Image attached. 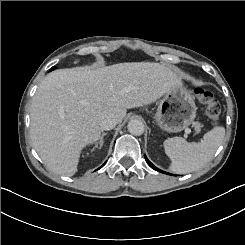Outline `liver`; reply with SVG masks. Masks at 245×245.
I'll use <instances>...</instances> for the list:
<instances>
[{
  "label": "liver",
  "instance_id": "6515ba94",
  "mask_svg": "<svg viewBox=\"0 0 245 245\" xmlns=\"http://www.w3.org/2000/svg\"><path fill=\"white\" fill-rule=\"evenodd\" d=\"M180 85L172 70L150 62L53 71L32 100L33 145L50 170L73 176L81 150L100 138L101 115L111 114L121 123L127 109L150 104Z\"/></svg>",
  "mask_w": 245,
  "mask_h": 245
}]
</instances>
